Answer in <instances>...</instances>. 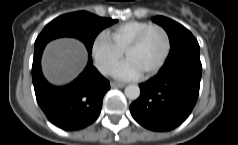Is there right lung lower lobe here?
Wrapping results in <instances>:
<instances>
[{"label": "right lung lower lobe", "mask_w": 238, "mask_h": 145, "mask_svg": "<svg viewBox=\"0 0 238 145\" xmlns=\"http://www.w3.org/2000/svg\"><path fill=\"white\" fill-rule=\"evenodd\" d=\"M45 45L35 48L32 79L39 106L55 126L75 131L92 124L100 114L102 100L110 83L92 66L88 65L72 83L55 87L49 84L41 71V56Z\"/></svg>", "instance_id": "obj_1"}]
</instances>
